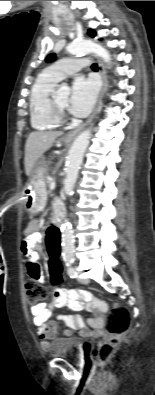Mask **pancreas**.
<instances>
[{
  "label": "pancreas",
  "mask_w": 155,
  "mask_h": 395,
  "mask_svg": "<svg viewBox=\"0 0 155 395\" xmlns=\"http://www.w3.org/2000/svg\"><path fill=\"white\" fill-rule=\"evenodd\" d=\"M52 182H54V178H52V177H46V178H45V184H46V186L48 187V192H51L50 184H51Z\"/></svg>",
  "instance_id": "pancreas-1"
}]
</instances>
